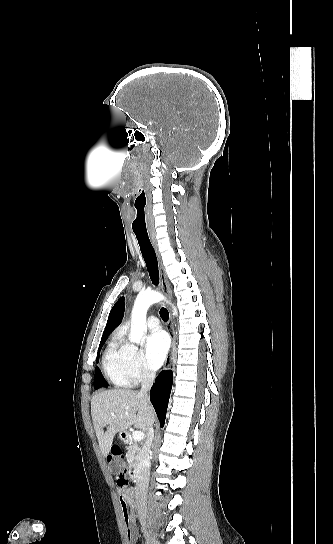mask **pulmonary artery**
Listing matches in <instances>:
<instances>
[{
    "instance_id": "e3ab8cb5",
    "label": "pulmonary artery",
    "mask_w": 333,
    "mask_h": 544,
    "mask_svg": "<svg viewBox=\"0 0 333 544\" xmlns=\"http://www.w3.org/2000/svg\"><path fill=\"white\" fill-rule=\"evenodd\" d=\"M147 326L149 329L153 330V331H158L160 326H159V320L157 317L155 316H149L148 320H147Z\"/></svg>"
}]
</instances>
